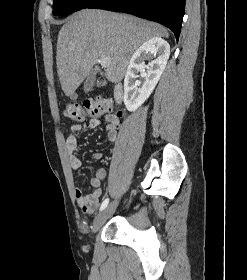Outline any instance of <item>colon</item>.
I'll use <instances>...</instances> for the list:
<instances>
[{
    "label": "colon",
    "instance_id": "5ec220e1",
    "mask_svg": "<svg viewBox=\"0 0 247 280\" xmlns=\"http://www.w3.org/2000/svg\"><path fill=\"white\" fill-rule=\"evenodd\" d=\"M112 103L103 98L86 99L83 103L71 102L65 108L67 118L75 121H82L87 115L98 116L105 113L111 114ZM120 117V113L114 114Z\"/></svg>",
    "mask_w": 247,
    "mask_h": 280
}]
</instances>
